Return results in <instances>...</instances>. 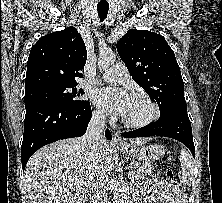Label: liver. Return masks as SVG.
I'll return each mask as SVG.
<instances>
[{"mask_svg": "<svg viewBox=\"0 0 222 203\" xmlns=\"http://www.w3.org/2000/svg\"><path fill=\"white\" fill-rule=\"evenodd\" d=\"M148 140L135 138L130 143ZM118 160L116 148L106 140L96 155L84 147L82 138L59 140L31 156L24 171L25 190L31 203H83L92 182L100 174H110Z\"/></svg>", "mask_w": 222, "mask_h": 203, "instance_id": "obj_1", "label": "liver"}]
</instances>
